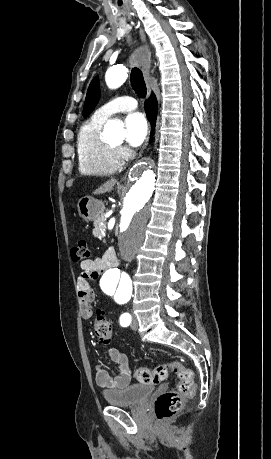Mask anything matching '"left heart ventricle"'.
Segmentation results:
<instances>
[{
	"label": "left heart ventricle",
	"instance_id": "b2bd125f",
	"mask_svg": "<svg viewBox=\"0 0 271 459\" xmlns=\"http://www.w3.org/2000/svg\"><path fill=\"white\" fill-rule=\"evenodd\" d=\"M114 144H116V145H117V144H119V142H115Z\"/></svg>",
	"mask_w": 271,
	"mask_h": 459
}]
</instances>
